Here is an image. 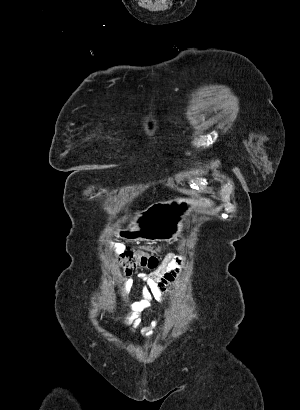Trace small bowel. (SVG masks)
I'll use <instances>...</instances> for the list:
<instances>
[{"mask_svg":"<svg viewBox=\"0 0 300 410\" xmlns=\"http://www.w3.org/2000/svg\"><path fill=\"white\" fill-rule=\"evenodd\" d=\"M184 261V257L180 255L169 254L155 271L143 275L142 279L146 284L145 294L154 297L159 302H163L169 294L171 285L178 278L184 266ZM132 285L133 280L131 278H125L124 289L121 296L122 306H127L130 309V316L127 319L115 321L114 326L117 328L129 326L126 330L127 334L139 332L144 338H151L155 334V328L158 324L157 321H153L147 327L139 328L141 324V313L148 307V302L143 300L132 302L128 305L125 304L126 292Z\"/></svg>","mask_w":300,"mask_h":410,"instance_id":"obj_1","label":"small bowel"}]
</instances>
